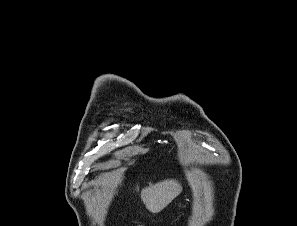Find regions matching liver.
<instances>
[{
    "label": "liver",
    "mask_w": 297,
    "mask_h": 226,
    "mask_svg": "<svg viewBox=\"0 0 297 226\" xmlns=\"http://www.w3.org/2000/svg\"><path fill=\"white\" fill-rule=\"evenodd\" d=\"M182 191V186L175 180H164L141 191V200L151 213H159Z\"/></svg>",
    "instance_id": "obj_1"
}]
</instances>
